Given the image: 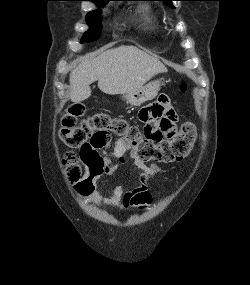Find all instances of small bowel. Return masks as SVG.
<instances>
[{
    "label": "small bowel",
    "instance_id": "c3829d8e",
    "mask_svg": "<svg viewBox=\"0 0 250 285\" xmlns=\"http://www.w3.org/2000/svg\"><path fill=\"white\" fill-rule=\"evenodd\" d=\"M139 119L144 123L142 125L143 141L163 144V141H169V136H176L178 133V128L175 127L176 113L165 98L143 107L139 112ZM99 149L101 148L90 147L80 150L81 160L87 170L82 179L76 183V191L97 204H104L116 209L129 207L143 209L150 205L152 195L148 181L160 171V166L157 164L147 166L131 153L136 166L142 170L139 176V186L130 191H126L122 186H117L110 197L104 198L95 190L96 181L102 174L117 170V166L102 158L98 154ZM129 149L130 145L125 140L118 139L115 142L113 154L123 163L125 153Z\"/></svg>",
    "mask_w": 250,
    "mask_h": 285
}]
</instances>
